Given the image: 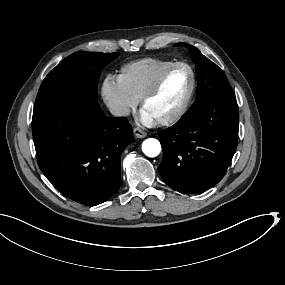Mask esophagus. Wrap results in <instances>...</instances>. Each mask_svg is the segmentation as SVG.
Segmentation results:
<instances>
[{
	"mask_svg": "<svg viewBox=\"0 0 285 285\" xmlns=\"http://www.w3.org/2000/svg\"><path fill=\"white\" fill-rule=\"evenodd\" d=\"M133 132H134V135L137 137V138H144V137H146V135H147V133L146 132H144V131H142L140 128H135L134 130H133Z\"/></svg>",
	"mask_w": 285,
	"mask_h": 285,
	"instance_id": "obj_1",
	"label": "esophagus"
}]
</instances>
